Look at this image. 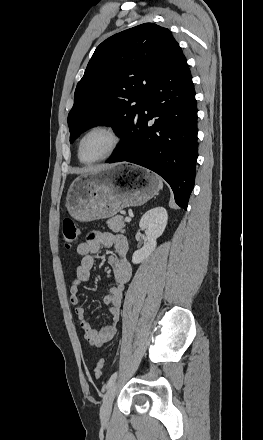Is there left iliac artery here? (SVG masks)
Returning a JSON list of instances; mask_svg holds the SVG:
<instances>
[{"label": "left iliac artery", "mask_w": 263, "mask_h": 440, "mask_svg": "<svg viewBox=\"0 0 263 440\" xmlns=\"http://www.w3.org/2000/svg\"><path fill=\"white\" fill-rule=\"evenodd\" d=\"M116 378H117V372H115L111 375V377L109 378V380L107 382L106 388H109L115 382Z\"/></svg>", "instance_id": "obj_1"}]
</instances>
